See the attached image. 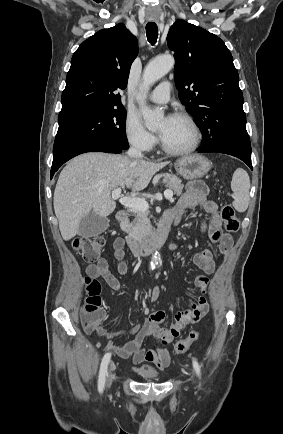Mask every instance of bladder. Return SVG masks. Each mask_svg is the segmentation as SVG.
Listing matches in <instances>:
<instances>
[{
  "mask_svg": "<svg viewBox=\"0 0 283 434\" xmlns=\"http://www.w3.org/2000/svg\"><path fill=\"white\" fill-rule=\"evenodd\" d=\"M137 373L145 380L153 381L160 378L159 373L152 367H148L146 369L138 371Z\"/></svg>",
  "mask_w": 283,
  "mask_h": 434,
  "instance_id": "bladder-1",
  "label": "bladder"
}]
</instances>
